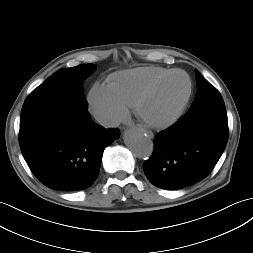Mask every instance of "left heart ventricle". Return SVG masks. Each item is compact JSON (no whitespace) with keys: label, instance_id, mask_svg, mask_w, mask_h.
<instances>
[{"label":"left heart ventricle","instance_id":"1","mask_svg":"<svg viewBox=\"0 0 253 253\" xmlns=\"http://www.w3.org/2000/svg\"><path fill=\"white\" fill-rule=\"evenodd\" d=\"M187 89L188 83L184 75L175 74L171 76L145 102L144 115L155 121L169 118L185 97Z\"/></svg>","mask_w":253,"mask_h":253}]
</instances>
